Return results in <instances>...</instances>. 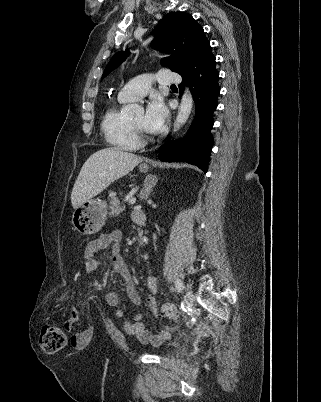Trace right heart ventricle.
I'll use <instances>...</instances> for the list:
<instances>
[{
    "mask_svg": "<svg viewBox=\"0 0 321 402\" xmlns=\"http://www.w3.org/2000/svg\"><path fill=\"white\" fill-rule=\"evenodd\" d=\"M124 102L118 99L117 104L107 108L102 118L101 130L110 146L133 151L140 147V142L131 131L128 120L120 113L119 104Z\"/></svg>",
    "mask_w": 321,
    "mask_h": 402,
    "instance_id": "obj_1",
    "label": "right heart ventricle"
}]
</instances>
